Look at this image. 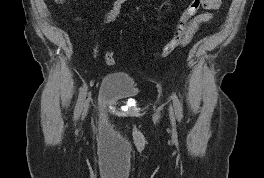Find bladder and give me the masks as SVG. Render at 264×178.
Wrapping results in <instances>:
<instances>
[{"mask_svg":"<svg viewBox=\"0 0 264 178\" xmlns=\"http://www.w3.org/2000/svg\"><path fill=\"white\" fill-rule=\"evenodd\" d=\"M139 94L140 87L136 80L123 71L107 74L102 80L99 89V95L110 100L136 98Z\"/></svg>","mask_w":264,"mask_h":178,"instance_id":"1","label":"bladder"}]
</instances>
